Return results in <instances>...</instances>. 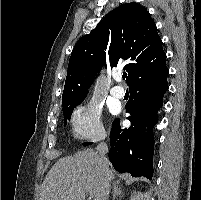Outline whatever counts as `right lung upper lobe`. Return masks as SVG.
I'll use <instances>...</instances> for the list:
<instances>
[{"instance_id": "obj_1", "label": "right lung upper lobe", "mask_w": 201, "mask_h": 200, "mask_svg": "<svg viewBox=\"0 0 201 200\" xmlns=\"http://www.w3.org/2000/svg\"><path fill=\"white\" fill-rule=\"evenodd\" d=\"M106 59L111 68L125 65L129 86L166 66L162 40L145 7L123 4L78 40L70 56L62 101L86 97Z\"/></svg>"}]
</instances>
